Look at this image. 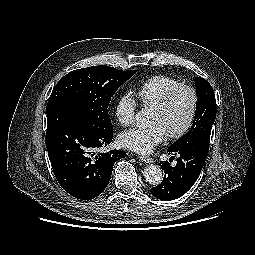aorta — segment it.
<instances>
[{
	"instance_id": "762f6f07",
	"label": "aorta",
	"mask_w": 255,
	"mask_h": 255,
	"mask_svg": "<svg viewBox=\"0 0 255 255\" xmlns=\"http://www.w3.org/2000/svg\"><path fill=\"white\" fill-rule=\"evenodd\" d=\"M136 124L138 127L145 129L148 127L149 116L145 109L140 110L136 114ZM144 176L147 182L151 185H159L163 180V172L158 165H148L144 169Z\"/></svg>"
}]
</instances>
